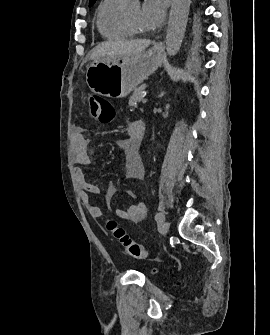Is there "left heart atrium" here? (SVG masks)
<instances>
[{
  "mask_svg": "<svg viewBox=\"0 0 270 335\" xmlns=\"http://www.w3.org/2000/svg\"><path fill=\"white\" fill-rule=\"evenodd\" d=\"M165 9V3L162 0H147L141 10V30L149 35L157 32L164 24Z\"/></svg>",
  "mask_w": 270,
  "mask_h": 335,
  "instance_id": "1",
  "label": "left heart atrium"
}]
</instances>
